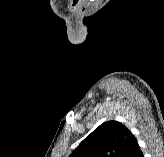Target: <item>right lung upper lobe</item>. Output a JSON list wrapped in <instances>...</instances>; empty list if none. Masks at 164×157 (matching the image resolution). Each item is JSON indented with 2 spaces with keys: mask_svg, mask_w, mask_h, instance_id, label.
<instances>
[{
  "mask_svg": "<svg viewBox=\"0 0 164 157\" xmlns=\"http://www.w3.org/2000/svg\"><path fill=\"white\" fill-rule=\"evenodd\" d=\"M136 143L123 124L108 121L87 136L69 157H126Z\"/></svg>",
  "mask_w": 164,
  "mask_h": 157,
  "instance_id": "1",
  "label": "right lung upper lobe"
}]
</instances>
